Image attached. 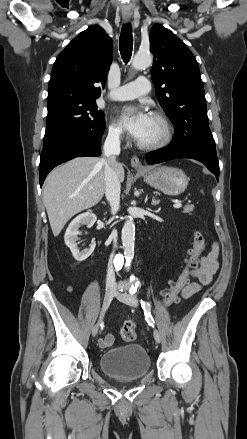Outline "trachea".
Returning a JSON list of instances; mask_svg holds the SVG:
<instances>
[{"mask_svg":"<svg viewBox=\"0 0 247 439\" xmlns=\"http://www.w3.org/2000/svg\"><path fill=\"white\" fill-rule=\"evenodd\" d=\"M119 49L123 61L125 63L129 62L133 49L132 27L130 23L124 24L122 26L119 39Z\"/></svg>","mask_w":247,"mask_h":439,"instance_id":"3493384b","label":"trachea"}]
</instances>
